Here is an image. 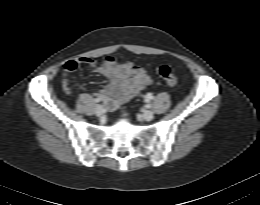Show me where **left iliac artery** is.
<instances>
[{
  "mask_svg": "<svg viewBox=\"0 0 260 205\" xmlns=\"http://www.w3.org/2000/svg\"><path fill=\"white\" fill-rule=\"evenodd\" d=\"M152 98H153V96H152L151 94H148V95L146 96V102H149L150 99H152ZM150 107H151L150 104H147V105H146V108H150Z\"/></svg>",
  "mask_w": 260,
  "mask_h": 205,
  "instance_id": "obj_1",
  "label": "left iliac artery"
}]
</instances>
